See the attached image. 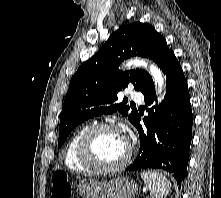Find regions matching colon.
I'll return each mask as SVG.
<instances>
[{"label":"colon","mask_w":221,"mask_h":198,"mask_svg":"<svg viewBox=\"0 0 221 198\" xmlns=\"http://www.w3.org/2000/svg\"><path fill=\"white\" fill-rule=\"evenodd\" d=\"M52 198H71L72 186L64 172H56L52 177Z\"/></svg>","instance_id":"colon-1"}]
</instances>
